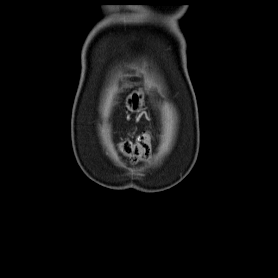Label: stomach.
I'll list each match as a JSON object with an SVG mask.
<instances>
[{
	"label": "stomach",
	"mask_w": 278,
	"mask_h": 278,
	"mask_svg": "<svg viewBox=\"0 0 278 278\" xmlns=\"http://www.w3.org/2000/svg\"><path fill=\"white\" fill-rule=\"evenodd\" d=\"M144 102V94L141 91H134L126 99V107L132 111H139Z\"/></svg>",
	"instance_id": "obj_1"
}]
</instances>
